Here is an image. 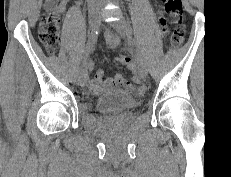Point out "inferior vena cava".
<instances>
[{
	"label": "inferior vena cava",
	"mask_w": 231,
	"mask_h": 177,
	"mask_svg": "<svg viewBox=\"0 0 231 177\" xmlns=\"http://www.w3.org/2000/svg\"><path fill=\"white\" fill-rule=\"evenodd\" d=\"M102 0H88L90 3L101 2Z\"/></svg>",
	"instance_id": "1"
}]
</instances>
